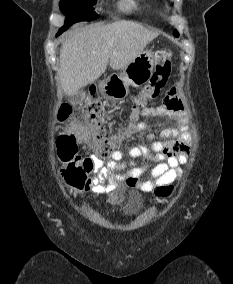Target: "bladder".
I'll use <instances>...</instances> for the list:
<instances>
[{
	"label": "bladder",
	"mask_w": 233,
	"mask_h": 284,
	"mask_svg": "<svg viewBox=\"0 0 233 284\" xmlns=\"http://www.w3.org/2000/svg\"><path fill=\"white\" fill-rule=\"evenodd\" d=\"M144 209V198L138 192H130L125 203L123 214L126 217H134Z\"/></svg>",
	"instance_id": "31cf9c89"
}]
</instances>
